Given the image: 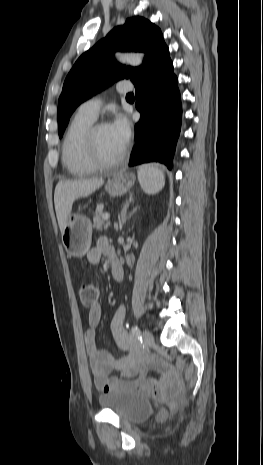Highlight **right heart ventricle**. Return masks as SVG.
<instances>
[{
	"label": "right heart ventricle",
	"mask_w": 263,
	"mask_h": 465,
	"mask_svg": "<svg viewBox=\"0 0 263 465\" xmlns=\"http://www.w3.org/2000/svg\"><path fill=\"white\" fill-rule=\"evenodd\" d=\"M94 120L78 112L65 132L61 147L62 163L73 176H86L97 170L88 162L83 147L84 134Z\"/></svg>",
	"instance_id": "obj_1"
}]
</instances>
